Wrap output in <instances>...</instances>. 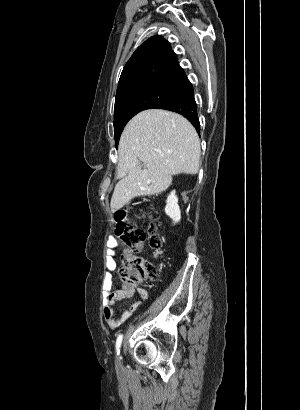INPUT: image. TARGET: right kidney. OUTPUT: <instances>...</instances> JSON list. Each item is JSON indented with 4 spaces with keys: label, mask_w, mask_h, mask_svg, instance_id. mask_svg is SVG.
Segmentation results:
<instances>
[{
    "label": "right kidney",
    "mask_w": 300,
    "mask_h": 410,
    "mask_svg": "<svg viewBox=\"0 0 300 410\" xmlns=\"http://www.w3.org/2000/svg\"><path fill=\"white\" fill-rule=\"evenodd\" d=\"M165 213L173 220L174 224L181 219V211L178 205V198L175 194V190L170 193L167 198Z\"/></svg>",
    "instance_id": "obj_1"
}]
</instances>
